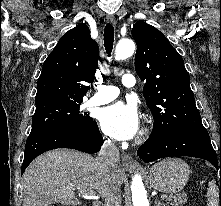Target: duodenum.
Segmentation results:
<instances>
[{
  "instance_id": "410a0bca",
  "label": "duodenum",
  "mask_w": 221,
  "mask_h": 206,
  "mask_svg": "<svg viewBox=\"0 0 221 206\" xmlns=\"http://www.w3.org/2000/svg\"><path fill=\"white\" fill-rule=\"evenodd\" d=\"M93 206H103L101 203H94Z\"/></svg>"
}]
</instances>
